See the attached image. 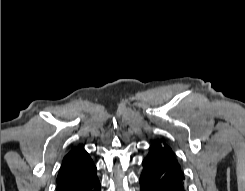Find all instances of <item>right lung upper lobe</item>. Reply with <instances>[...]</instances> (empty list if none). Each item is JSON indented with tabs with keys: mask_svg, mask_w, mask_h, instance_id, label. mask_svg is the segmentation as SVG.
I'll list each match as a JSON object with an SVG mask.
<instances>
[{
	"mask_svg": "<svg viewBox=\"0 0 245 191\" xmlns=\"http://www.w3.org/2000/svg\"><path fill=\"white\" fill-rule=\"evenodd\" d=\"M93 166V161L89 154L81 147L73 148L63 159L57 183L74 177Z\"/></svg>",
	"mask_w": 245,
	"mask_h": 191,
	"instance_id": "1",
	"label": "right lung upper lobe"
}]
</instances>
